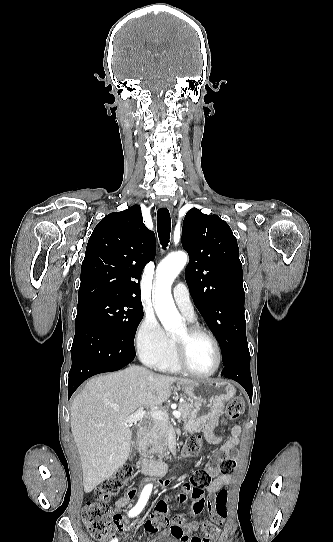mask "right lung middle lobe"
I'll return each mask as SVG.
<instances>
[{"label": "right lung middle lobe", "instance_id": "obj_1", "mask_svg": "<svg viewBox=\"0 0 333 542\" xmlns=\"http://www.w3.org/2000/svg\"><path fill=\"white\" fill-rule=\"evenodd\" d=\"M143 314L142 305L92 297L78 304L76 319L89 317L102 323L120 343L135 351L134 337Z\"/></svg>", "mask_w": 333, "mask_h": 542}]
</instances>
